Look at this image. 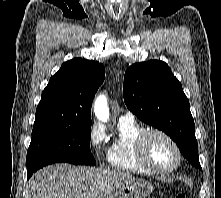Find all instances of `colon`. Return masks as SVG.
<instances>
[{
	"mask_svg": "<svg viewBox=\"0 0 221 198\" xmlns=\"http://www.w3.org/2000/svg\"><path fill=\"white\" fill-rule=\"evenodd\" d=\"M175 198H186V196L183 193H179Z\"/></svg>",
	"mask_w": 221,
	"mask_h": 198,
	"instance_id": "1",
	"label": "colon"
}]
</instances>
